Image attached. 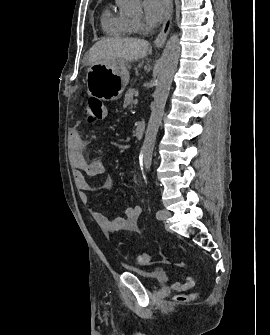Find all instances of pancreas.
<instances>
[{
    "label": "pancreas",
    "mask_w": 270,
    "mask_h": 335,
    "mask_svg": "<svg viewBox=\"0 0 270 335\" xmlns=\"http://www.w3.org/2000/svg\"><path fill=\"white\" fill-rule=\"evenodd\" d=\"M133 94H135V90H132V88H130V90L126 92L123 108H127V106H130V104H132Z\"/></svg>",
    "instance_id": "pancreas-1"
}]
</instances>
